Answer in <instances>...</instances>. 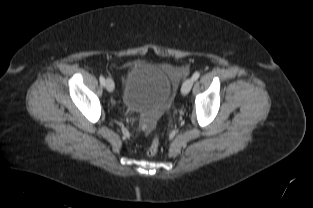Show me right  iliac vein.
<instances>
[{
    "instance_id": "right-iliac-vein-1",
    "label": "right iliac vein",
    "mask_w": 313,
    "mask_h": 208,
    "mask_svg": "<svg viewBox=\"0 0 313 208\" xmlns=\"http://www.w3.org/2000/svg\"><path fill=\"white\" fill-rule=\"evenodd\" d=\"M105 86H106V89L109 91V92H112L114 90V82L111 78H107L106 81H105Z\"/></svg>"
}]
</instances>
